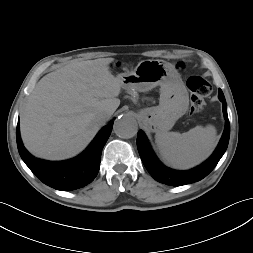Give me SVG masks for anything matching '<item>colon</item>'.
I'll use <instances>...</instances> for the list:
<instances>
[{
  "instance_id": "1",
  "label": "colon",
  "mask_w": 253,
  "mask_h": 253,
  "mask_svg": "<svg viewBox=\"0 0 253 253\" xmlns=\"http://www.w3.org/2000/svg\"><path fill=\"white\" fill-rule=\"evenodd\" d=\"M191 92V113L199 114L205 108V99L211 93V84L201 76H192L187 81Z\"/></svg>"
}]
</instances>
